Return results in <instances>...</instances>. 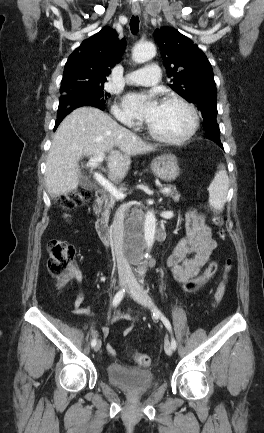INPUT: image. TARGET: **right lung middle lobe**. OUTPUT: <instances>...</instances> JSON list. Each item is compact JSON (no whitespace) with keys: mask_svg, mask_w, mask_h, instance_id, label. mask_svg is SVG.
Listing matches in <instances>:
<instances>
[{"mask_svg":"<svg viewBox=\"0 0 264 433\" xmlns=\"http://www.w3.org/2000/svg\"><path fill=\"white\" fill-rule=\"evenodd\" d=\"M108 97L110 94L104 91V86L69 91L60 97L57 117L61 119L81 106H96L104 109Z\"/></svg>","mask_w":264,"mask_h":433,"instance_id":"1","label":"right lung middle lobe"}]
</instances>
